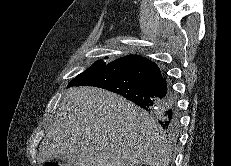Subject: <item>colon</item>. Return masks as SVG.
Listing matches in <instances>:
<instances>
[{
	"instance_id": "colon-1",
	"label": "colon",
	"mask_w": 231,
	"mask_h": 166,
	"mask_svg": "<svg viewBox=\"0 0 231 166\" xmlns=\"http://www.w3.org/2000/svg\"><path fill=\"white\" fill-rule=\"evenodd\" d=\"M45 166H61V164L58 161H51V162H47Z\"/></svg>"
}]
</instances>
